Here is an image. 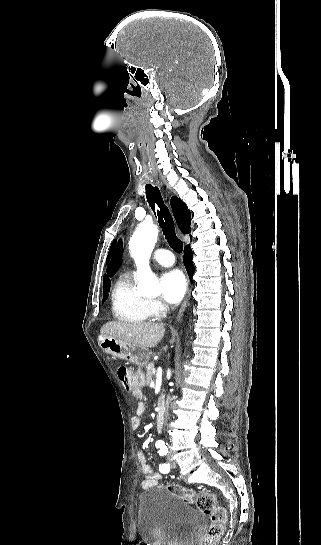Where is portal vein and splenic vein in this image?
<instances>
[{
  "instance_id": "obj_1",
  "label": "portal vein and splenic vein",
  "mask_w": 321,
  "mask_h": 545,
  "mask_svg": "<svg viewBox=\"0 0 321 545\" xmlns=\"http://www.w3.org/2000/svg\"><path fill=\"white\" fill-rule=\"evenodd\" d=\"M152 371H153V376H156V370H155V368H152Z\"/></svg>"
}]
</instances>
